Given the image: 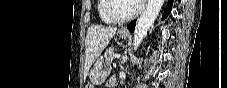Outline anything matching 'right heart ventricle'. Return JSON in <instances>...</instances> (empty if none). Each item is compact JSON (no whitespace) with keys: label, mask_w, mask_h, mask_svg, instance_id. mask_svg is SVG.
Masks as SVG:
<instances>
[{"label":"right heart ventricle","mask_w":227,"mask_h":88,"mask_svg":"<svg viewBox=\"0 0 227 88\" xmlns=\"http://www.w3.org/2000/svg\"><path fill=\"white\" fill-rule=\"evenodd\" d=\"M105 0H98V12L100 19L105 23H113L112 20L106 15L104 11Z\"/></svg>","instance_id":"1"}]
</instances>
